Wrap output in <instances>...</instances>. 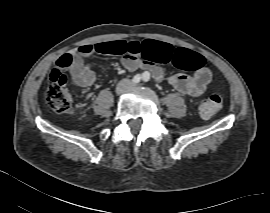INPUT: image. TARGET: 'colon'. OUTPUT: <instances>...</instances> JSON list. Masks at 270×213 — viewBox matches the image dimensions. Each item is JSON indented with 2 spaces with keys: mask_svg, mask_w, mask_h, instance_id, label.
Listing matches in <instances>:
<instances>
[{
  "mask_svg": "<svg viewBox=\"0 0 270 213\" xmlns=\"http://www.w3.org/2000/svg\"><path fill=\"white\" fill-rule=\"evenodd\" d=\"M101 51L106 54L148 57L149 48L136 41H111L104 43ZM69 54L60 57L59 62L48 73V87L45 92L47 104L57 113L67 114L72 111L73 97L67 88L68 77L65 73ZM203 58L197 53H187L186 56L177 55L173 64L180 66L187 64L190 69L200 68ZM223 99L220 94H214L203 99L198 107V113L202 118H209L221 110Z\"/></svg>",
  "mask_w": 270,
  "mask_h": 213,
  "instance_id": "5ec220e1",
  "label": "colon"
}]
</instances>
